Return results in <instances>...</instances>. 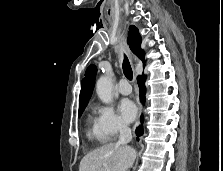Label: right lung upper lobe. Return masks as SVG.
I'll list each match as a JSON object with an SVG mask.
<instances>
[{"label": "right lung upper lobe", "mask_w": 223, "mask_h": 171, "mask_svg": "<svg viewBox=\"0 0 223 171\" xmlns=\"http://www.w3.org/2000/svg\"><path fill=\"white\" fill-rule=\"evenodd\" d=\"M127 41L132 52L144 61V52L141 49V36L134 25L129 27ZM96 72L97 68L95 65H90L85 72V78H83L81 82L79 108L87 106L88 104L93 92Z\"/></svg>", "instance_id": "cb5924a9"}]
</instances>
